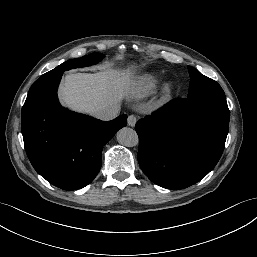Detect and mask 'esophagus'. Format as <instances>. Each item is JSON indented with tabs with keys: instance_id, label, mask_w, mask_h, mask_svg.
I'll use <instances>...</instances> for the list:
<instances>
[{
	"instance_id": "esophagus-1",
	"label": "esophagus",
	"mask_w": 257,
	"mask_h": 257,
	"mask_svg": "<svg viewBox=\"0 0 257 257\" xmlns=\"http://www.w3.org/2000/svg\"><path fill=\"white\" fill-rule=\"evenodd\" d=\"M137 122L136 116L134 114H131L128 116L127 123L129 126L134 127Z\"/></svg>"
}]
</instances>
